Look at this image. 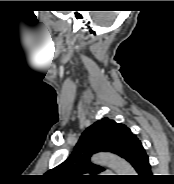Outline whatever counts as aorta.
I'll use <instances>...</instances> for the list:
<instances>
[{"mask_svg":"<svg viewBox=\"0 0 174 184\" xmlns=\"http://www.w3.org/2000/svg\"><path fill=\"white\" fill-rule=\"evenodd\" d=\"M95 164L105 165L113 169L118 175H134L131 165L121 157L112 153H98L92 157Z\"/></svg>","mask_w":174,"mask_h":184,"instance_id":"762f6f07","label":"aorta"}]
</instances>
